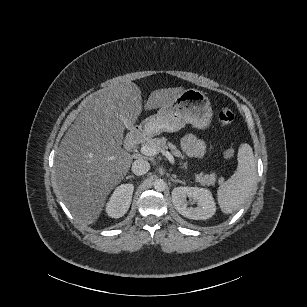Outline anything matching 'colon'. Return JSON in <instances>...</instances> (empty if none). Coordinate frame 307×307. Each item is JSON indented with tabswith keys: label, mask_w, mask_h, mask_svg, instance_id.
I'll return each instance as SVG.
<instances>
[{
	"label": "colon",
	"mask_w": 307,
	"mask_h": 307,
	"mask_svg": "<svg viewBox=\"0 0 307 307\" xmlns=\"http://www.w3.org/2000/svg\"><path fill=\"white\" fill-rule=\"evenodd\" d=\"M218 119L223 126H226L232 123V121L234 120V114L230 109L223 108L219 111ZM234 155H235V150L233 147L227 148L223 151V156L225 158H232Z\"/></svg>",
	"instance_id": "5ec220e1"
}]
</instances>
